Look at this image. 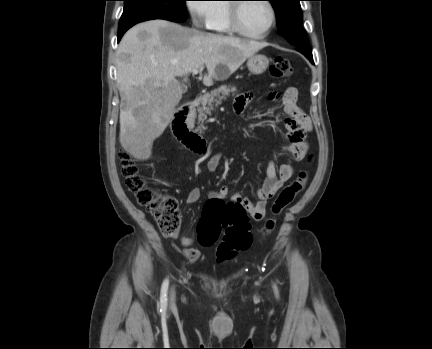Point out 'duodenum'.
I'll use <instances>...</instances> for the list:
<instances>
[{"label": "duodenum", "instance_id": "1", "mask_svg": "<svg viewBox=\"0 0 432 349\" xmlns=\"http://www.w3.org/2000/svg\"><path fill=\"white\" fill-rule=\"evenodd\" d=\"M198 106V98L184 103L173 115L172 130L176 138L190 151L203 155L207 151L206 141L193 130L192 119Z\"/></svg>", "mask_w": 432, "mask_h": 349}]
</instances>
